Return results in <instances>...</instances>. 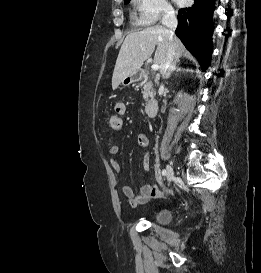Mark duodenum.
Segmentation results:
<instances>
[{
    "instance_id": "410a0bca",
    "label": "duodenum",
    "mask_w": 261,
    "mask_h": 273,
    "mask_svg": "<svg viewBox=\"0 0 261 273\" xmlns=\"http://www.w3.org/2000/svg\"><path fill=\"white\" fill-rule=\"evenodd\" d=\"M157 109H158V102L157 100L153 99L146 104L145 113L147 116L153 117L155 116Z\"/></svg>"
}]
</instances>
